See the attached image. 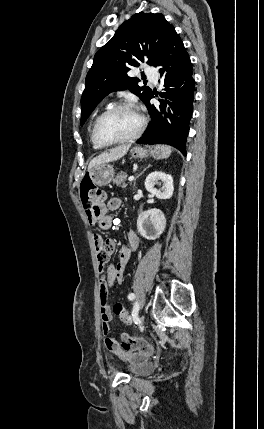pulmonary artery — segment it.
I'll list each match as a JSON object with an SVG mask.
<instances>
[{"label":"pulmonary artery","instance_id":"e3ab8cb5","mask_svg":"<svg viewBox=\"0 0 264 429\" xmlns=\"http://www.w3.org/2000/svg\"><path fill=\"white\" fill-rule=\"evenodd\" d=\"M145 75L149 78V80L153 83H157L158 73L155 68L147 66L144 70Z\"/></svg>","mask_w":264,"mask_h":429}]
</instances>
